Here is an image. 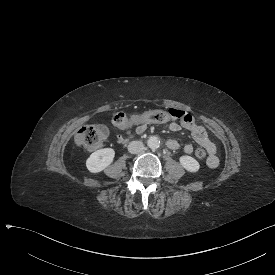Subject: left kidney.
I'll use <instances>...</instances> for the list:
<instances>
[{
  "label": "left kidney",
  "mask_w": 275,
  "mask_h": 275,
  "mask_svg": "<svg viewBox=\"0 0 275 275\" xmlns=\"http://www.w3.org/2000/svg\"><path fill=\"white\" fill-rule=\"evenodd\" d=\"M180 165L188 172L196 173L200 169V163L193 157L188 155L180 156Z\"/></svg>",
  "instance_id": "obj_1"
}]
</instances>
